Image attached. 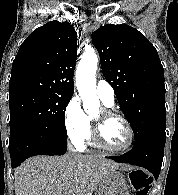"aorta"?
Segmentation results:
<instances>
[{
    "mask_svg": "<svg viewBox=\"0 0 178 195\" xmlns=\"http://www.w3.org/2000/svg\"><path fill=\"white\" fill-rule=\"evenodd\" d=\"M98 56L94 52L84 53L76 70V86L85 112L91 114L99 108L96 92Z\"/></svg>",
    "mask_w": 178,
    "mask_h": 195,
    "instance_id": "aorta-1",
    "label": "aorta"
}]
</instances>
